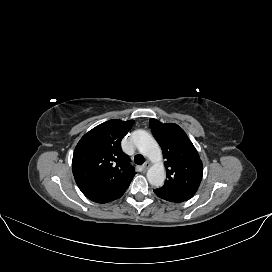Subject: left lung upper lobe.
Here are the masks:
<instances>
[{
	"label": "left lung upper lobe",
	"instance_id": "1",
	"mask_svg": "<svg viewBox=\"0 0 272 272\" xmlns=\"http://www.w3.org/2000/svg\"><path fill=\"white\" fill-rule=\"evenodd\" d=\"M149 124L166 159L167 180L159 190L193 197L203 174V165L194 145L183 129L174 123L163 124L150 119Z\"/></svg>",
	"mask_w": 272,
	"mask_h": 272
}]
</instances>
